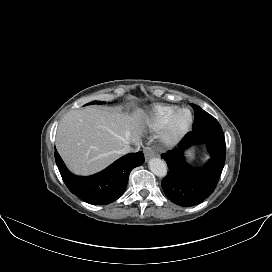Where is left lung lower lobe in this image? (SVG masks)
Wrapping results in <instances>:
<instances>
[{"label": "left lung lower lobe", "mask_w": 272, "mask_h": 272, "mask_svg": "<svg viewBox=\"0 0 272 272\" xmlns=\"http://www.w3.org/2000/svg\"><path fill=\"white\" fill-rule=\"evenodd\" d=\"M205 143L210 153L204 167L191 169L185 161L184 152L194 143ZM225 139L216 121L189 132L178 147L163 154L169 172L162 180V188L169 200L183 207L201 203L216 188L225 163Z\"/></svg>", "instance_id": "1"}]
</instances>
